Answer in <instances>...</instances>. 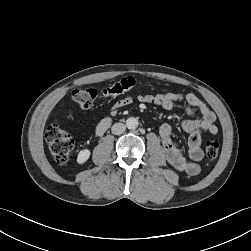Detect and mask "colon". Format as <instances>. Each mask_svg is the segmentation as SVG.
<instances>
[{"mask_svg":"<svg viewBox=\"0 0 251 251\" xmlns=\"http://www.w3.org/2000/svg\"><path fill=\"white\" fill-rule=\"evenodd\" d=\"M136 86L133 77L123 78L105 88H79L72 92L73 100L82 109L91 108L97 101L114 98L129 92ZM45 138L54 160L59 164H65L71 155L74 141L71 135L58 123L49 125L45 132ZM220 143L217 138H210L205 144V153L208 159L213 160L219 154Z\"/></svg>","mask_w":251,"mask_h":251,"instance_id":"1","label":"colon"}]
</instances>
